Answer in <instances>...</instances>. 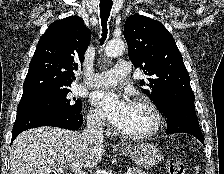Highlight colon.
<instances>
[{"label":"colon","instance_id":"colon-1","mask_svg":"<svg viewBox=\"0 0 224 174\" xmlns=\"http://www.w3.org/2000/svg\"><path fill=\"white\" fill-rule=\"evenodd\" d=\"M168 174H186V167L179 159H171L168 162Z\"/></svg>","mask_w":224,"mask_h":174}]
</instances>
